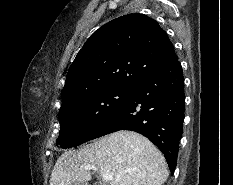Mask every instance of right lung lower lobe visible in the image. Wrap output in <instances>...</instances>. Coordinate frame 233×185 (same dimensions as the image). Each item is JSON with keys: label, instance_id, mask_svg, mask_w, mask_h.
Instances as JSON below:
<instances>
[{"label": "right lung lower lobe", "instance_id": "98d812e1", "mask_svg": "<svg viewBox=\"0 0 233 185\" xmlns=\"http://www.w3.org/2000/svg\"><path fill=\"white\" fill-rule=\"evenodd\" d=\"M184 77L180 62L144 76L128 89L124 102L88 138L127 129L149 138L174 173L184 121Z\"/></svg>", "mask_w": 233, "mask_h": 185}]
</instances>
